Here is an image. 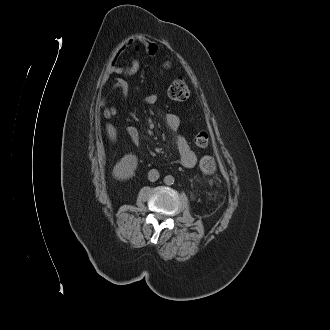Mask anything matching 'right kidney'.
<instances>
[{
  "label": "right kidney",
  "instance_id": "obj_1",
  "mask_svg": "<svg viewBox=\"0 0 330 330\" xmlns=\"http://www.w3.org/2000/svg\"><path fill=\"white\" fill-rule=\"evenodd\" d=\"M138 159L135 155H125L113 168L112 175L117 180H128L135 174Z\"/></svg>",
  "mask_w": 330,
  "mask_h": 330
}]
</instances>
